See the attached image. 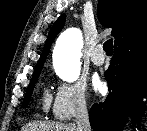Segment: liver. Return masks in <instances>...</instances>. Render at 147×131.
<instances>
[{"label": "liver", "mask_w": 147, "mask_h": 131, "mask_svg": "<svg viewBox=\"0 0 147 131\" xmlns=\"http://www.w3.org/2000/svg\"><path fill=\"white\" fill-rule=\"evenodd\" d=\"M21 131H78L75 124L29 122Z\"/></svg>", "instance_id": "obj_1"}]
</instances>
